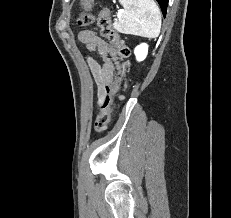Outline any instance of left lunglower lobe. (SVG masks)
Returning a JSON list of instances; mask_svg holds the SVG:
<instances>
[{"mask_svg": "<svg viewBox=\"0 0 231 218\" xmlns=\"http://www.w3.org/2000/svg\"><path fill=\"white\" fill-rule=\"evenodd\" d=\"M168 1L169 0H157V2L159 3V5L161 7V10H162V13L164 16L166 15Z\"/></svg>", "mask_w": 231, "mask_h": 218, "instance_id": "obj_1", "label": "left lung lower lobe"}]
</instances>
